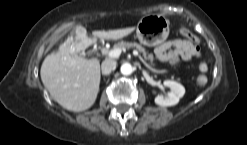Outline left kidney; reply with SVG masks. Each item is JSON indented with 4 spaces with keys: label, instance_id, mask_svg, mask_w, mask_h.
<instances>
[{
    "label": "left kidney",
    "instance_id": "left-kidney-1",
    "mask_svg": "<svg viewBox=\"0 0 247 145\" xmlns=\"http://www.w3.org/2000/svg\"><path fill=\"white\" fill-rule=\"evenodd\" d=\"M163 84L164 86L169 87L171 91L168 93L167 97L161 95L155 97V103L159 106L176 105L179 102V99L185 94L184 86L172 80H165Z\"/></svg>",
    "mask_w": 247,
    "mask_h": 145
}]
</instances>
